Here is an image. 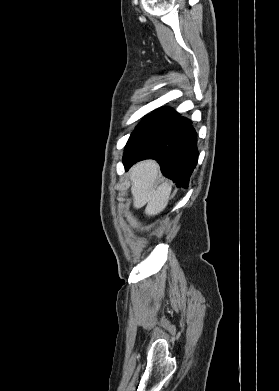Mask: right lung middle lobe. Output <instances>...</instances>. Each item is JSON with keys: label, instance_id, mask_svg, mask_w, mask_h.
I'll return each instance as SVG.
<instances>
[{"label": "right lung middle lobe", "instance_id": "1", "mask_svg": "<svg viewBox=\"0 0 279 391\" xmlns=\"http://www.w3.org/2000/svg\"><path fill=\"white\" fill-rule=\"evenodd\" d=\"M161 112L162 110H156L154 111V113L147 115V117L144 118V120L133 131L127 142V145L133 140H135L140 134H142L153 123V121L159 116Z\"/></svg>", "mask_w": 279, "mask_h": 391}]
</instances>
